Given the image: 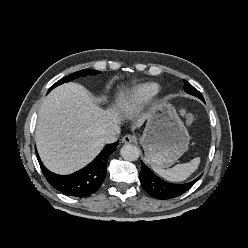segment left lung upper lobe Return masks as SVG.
Instances as JSON below:
<instances>
[{
	"instance_id": "5c2ea615",
	"label": "left lung upper lobe",
	"mask_w": 248,
	"mask_h": 248,
	"mask_svg": "<svg viewBox=\"0 0 248 248\" xmlns=\"http://www.w3.org/2000/svg\"><path fill=\"white\" fill-rule=\"evenodd\" d=\"M184 82V90L188 93L191 94L193 96L198 97L199 99H201L202 101H204V98L202 96V94L195 89L190 83H188L186 80H183Z\"/></svg>"
}]
</instances>
